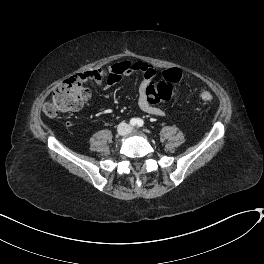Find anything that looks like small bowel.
Masks as SVG:
<instances>
[{
  "label": "small bowel",
  "instance_id": "obj_1",
  "mask_svg": "<svg viewBox=\"0 0 264 264\" xmlns=\"http://www.w3.org/2000/svg\"><path fill=\"white\" fill-rule=\"evenodd\" d=\"M135 72H143L144 78L139 85V95L137 104L141 111L152 116H164L165 111L154 105L153 101L146 95V88L157 79V71L150 64L144 62L122 61L112 63L106 67L97 70L85 71L79 73L76 77L82 81H94L98 85L104 82L107 87L117 83L123 75Z\"/></svg>",
  "mask_w": 264,
  "mask_h": 264
}]
</instances>
